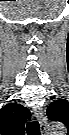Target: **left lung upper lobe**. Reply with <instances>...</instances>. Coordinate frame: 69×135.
Instances as JSON below:
<instances>
[{
    "instance_id": "left-lung-upper-lobe-1",
    "label": "left lung upper lobe",
    "mask_w": 69,
    "mask_h": 135,
    "mask_svg": "<svg viewBox=\"0 0 69 135\" xmlns=\"http://www.w3.org/2000/svg\"><path fill=\"white\" fill-rule=\"evenodd\" d=\"M47 115L50 120L67 124L69 120V102L64 99L52 102L47 108Z\"/></svg>"
}]
</instances>
